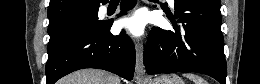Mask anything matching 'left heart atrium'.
Returning <instances> with one entry per match:
<instances>
[{
	"instance_id": "obj_1",
	"label": "left heart atrium",
	"mask_w": 260,
	"mask_h": 84,
	"mask_svg": "<svg viewBox=\"0 0 260 84\" xmlns=\"http://www.w3.org/2000/svg\"><path fill=\"white\" fill-rule=\"evenodd\" d=\"M144 19L140 15L126 17L119 22V28L126 30L134 37H140L144 32Z\"/></svg>"
}]
</instances>
